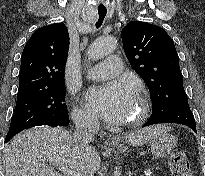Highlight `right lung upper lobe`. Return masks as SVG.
<instances>
[{"label": "right lung upper lobe", "instance_id": "obj_1", "mask_svg": "<svg viewBox=\"0 0 205 176\" xmlns=\"http://www.w3.org/2000/svg\"><path fill=\"white\" fill-rule=\"evenodd\" d=\"M68 49L69 34L64 23L36 30L22 53L18 94L64 84Z\"/></svg>", "mask_w": 205, "mask_h": 176}]
</instances>
